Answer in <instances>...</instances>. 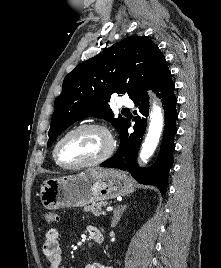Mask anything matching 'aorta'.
Listing matches in <instances>:
<instances>
[{"instance_id": "obj_1", "label": "aorta", "mask_w": 221, "mask_h": 268, "mask_svg": "<svg viewBox=\"0 0 221 268\" xmlns=\"http://www.w3.org/2000/svg\"><path fill=\"white\" fill-rule=\"evenodd\" d=\"M150 118L148 133L140 152V158L143 162H146L153 155L163 129V114L161 108L156 104L153 105Z\"/></svg>"}]
</instances>
